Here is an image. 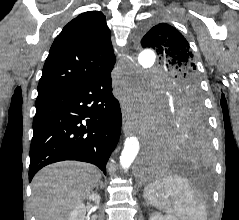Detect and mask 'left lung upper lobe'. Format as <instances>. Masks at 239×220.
Segmentation results:
<instances>
[{
    "label": "left lung upper lobe",
    "instance_id": "5c2ea615",
    "mask_svg": "<svg viewBox=\"0 0 239 220\" xmlns=\"http://www.w3.org/2000/svg\"><path fill=\"white\" fill-rule=\"evenodd\" d=\"M141 44L156 50L162 62L176 74V80L167 90L165 108L179 111L199 108L203 111L199 74L184 36L176 28L159 23L145 30Z\"/></svg>",
    "mask_w": 239,
    "mask_h": 220
}]
</instances>
